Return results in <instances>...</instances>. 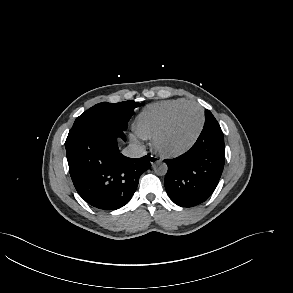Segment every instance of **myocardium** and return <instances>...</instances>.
Segmentation results:
<instances>
[{
  "instance_id": "myocardium-1",
  "label": "myocardium",
  "mask_w": 293,
  "mask_h": 293,
  "mask_svg": "<svg viewBox=\"0 0 293 293\" xmlns=\"http://www.w3.org/2000/svg\"><path fill=\"white\" fill-rule=\"evenodd\" d=\"M185 107H195L200 111L201 122H200V126L198 128V131L196 132L193 139L183 148L178 149V150H166L161 147L160 140H161L162 136L164 135V133L170 127V125H171L172 121L174 120V118L176 117V115ZM205 122H206L205 111L199 104H197L193 101H189V102H186L184 104H181V105L175 107L169 113V115L167 116L164 123L161 125V127L157 130V132L152 137V145H153L155 152L163 157H168V158H175V157H179V156L186 154L194 147V145L199 140V138L203 132Z\"/></svg>"
}]
</instances>
